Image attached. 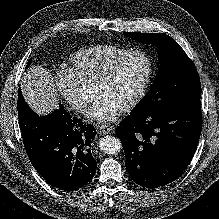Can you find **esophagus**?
Segmentation results:
<instances>
[{
	"instance_id": "obj_1",
	"label": "esophagus",
	"mask_w": 219,
	"mask_h": 219,
	"mask_svg": "<svg viewBox=\"0 0 219 219\" xmlns=\"http://www.w3.org/2000/svg\"><path fill=\"white\" fill-rule=\"evenodd\" d=\"M112 130V127L111 126H108V125H101L99 126L98 128V131H99V134L100 135H106V134H109Z\"/></svg>"
}]
</instances>
